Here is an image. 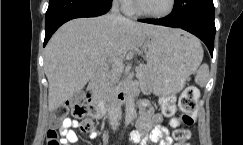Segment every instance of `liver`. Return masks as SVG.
<instances>
[{
    "label": "liver",
    "instance_id": "6515ba94",
    "mask_svg": "<svg viewBox=\"0 0 243 145\" xmlns=\"http://www.w3.org/2000/svg\"><path fill=\"white\" fill-rule=\"evenodd\" d=\"M167 29L118 20L111 14L73 19L62 25L45 48L49 111H55L83 89L106 58L124 56Z\"/></svg>",
    "mask_w": 243,
    "mask_h": 145
}]
</instances>
